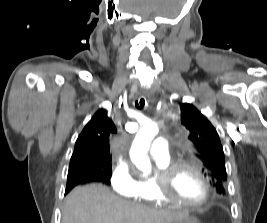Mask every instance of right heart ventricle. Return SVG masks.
<instances>
[{
  "mask_svg": "<svg viewBox=\"0 0 267 223\" xmlns=\"http://www.w3.org/2000/svg\"><path fill=\"white\" fill-rule=\"evenodd\" d=\"M155 162L160 170L170 164L171 161L170 159L161 160L155 158ZM130 195L139 201H144L155 205H161L164 203V201L158 196L154 183V177H139L136 181L134 192Z\"/></svg>",
  "mask_w": 267,
  "mask_h": 223,
  "instance_id": "e07e8e85",
  "label": "right heart ventricle"
}]
</instances>
